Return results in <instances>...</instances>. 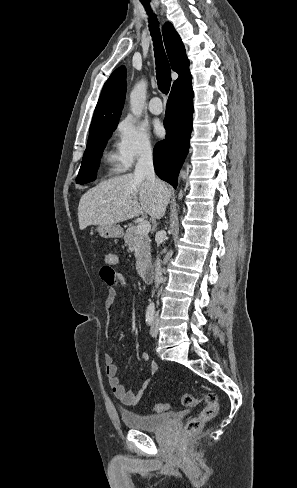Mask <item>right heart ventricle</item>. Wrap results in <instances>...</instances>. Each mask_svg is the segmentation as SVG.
Listing matches in <instances>:
<instances>
[{"instance_id":"right-heart-ventricle-1","label":"right heart ventricle","mask_w":297,"mask_h":488,"mask_svg":"<svg viewBox=\"0 0 297 488\" xmlns=\"http://www.w3.org/2000/svg\"><path fill=\"white\" fill-rule=\"evenodd\" d=\"M104 158H105V162H106V164H107V166L111 172H120L125 168V166L120 161L118 154H116L112 151H108L105 154Z\"/></svg>"}]
</instances>
